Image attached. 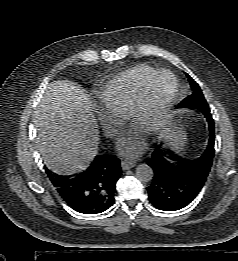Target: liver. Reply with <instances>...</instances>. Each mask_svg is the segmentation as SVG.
I'll list each match as a JSON object with an SVG mask.
<instances>
[{
  "label": "liver",
  "instance_id": "1",
  "mask_svg": "<svg viewBox=\"0 0 238 261\" xmlns=\"http://www.w3.org/2000/svg\"><path fill=\"white\" fill-rule=\"evenodd\" d=\"M35 126L39 151L54 172H75L97 153L99 129L93 103L74 82L48 85L36 110Z\"/></svg>",
  "mask_w": 238,
  "mask_h": 261
}]
</instances>
